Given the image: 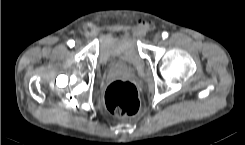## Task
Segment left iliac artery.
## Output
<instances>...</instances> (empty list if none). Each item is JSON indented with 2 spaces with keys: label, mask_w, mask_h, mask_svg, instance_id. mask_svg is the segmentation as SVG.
<instances>
[{
  "label": "left iliac artery",
  "mask_w": 245,
  "mask_h": 145,
  "mask_svg": "<svg viewBox=\"0 0 245 145\" xmlns=\"http://www.w3.org/2000/svg\"><path fill=\"white\" fill-rule=\"evenodd\" d=\"M167 37H168V33L164 31V32L162 33V38L165 39V38H167Z\"/></svg>",
  "instance_id": "left-iliac-artery-1"
}]
</instances>
